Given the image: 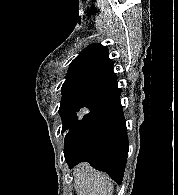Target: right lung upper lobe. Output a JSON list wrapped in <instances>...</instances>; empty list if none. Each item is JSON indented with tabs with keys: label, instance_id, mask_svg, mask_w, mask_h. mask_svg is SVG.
I'll list each match as a JSON object with an SVG mask.
<instances>
[{
	"label": "right lung upper lobe",
	"instance_id": "obj_1",
	"mask_svg": "<svg viewBox=\"0 0 178 195\" xmlns=\"http://www.w3.org/2000/svg\"><path fill=\"white\" fill-rule=\"evenodd\" d=\"M117 87L113 62L108 57V49L94 43L82 50L71 62L66 81L62 86V96H99Z\"/></svg>",
	"mask_w": 178,
	"mask_h": 195
}]
</instances>
